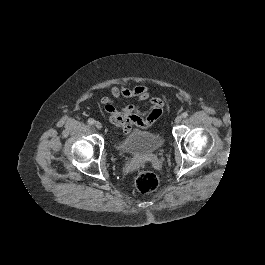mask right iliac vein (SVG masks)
Returning a JSON list of instances; mask_svg holds the SVG:
<instances>
[{
    "label": "right iliac vein",
    "instance_id": "right-iliac-vein-1",
    "mask_svg": "<svg viewBox=\"0 0 265 265\" xmlns=\"http://www.w3.org/2000/svg\"><path fill=\"white\" fill-rule=\"evenodd\" d=\"M95 127H96L97 129H101V128H102V124H101V122L96 121V122H95Z\"/></svg>",
    "mask_w": 265,
    "mask_h": 265
}]
</instances>
